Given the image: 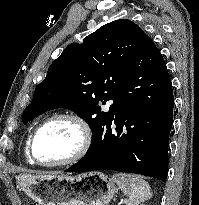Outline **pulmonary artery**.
<instances>
[{"label":"pulmonary artery","mask_w":199,"mask_h":205,"mask_svg":"<svg viewBox=\"0 0 199 205\" xmlns=\"http://www.w3.org/2000/svg\"><path fill=\"white\" fill-rule=\"evenodd\" d=\"M112 103H113V100L109 101V103H108V104H112Z\"/></svg>","instance_id":"e3ab8cb5"}]
</instances>
